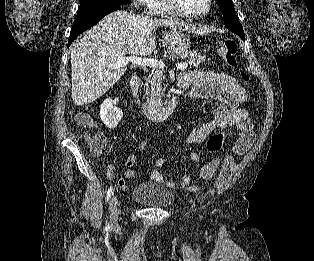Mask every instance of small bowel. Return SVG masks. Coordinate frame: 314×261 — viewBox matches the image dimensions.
Segmentation results:
<instances>
[{
    "label": "small bowel",
    "mask_w": 314,
    "mask_h": 261,
    "mask_svg": "<svg viewBox=\"0 0 314 261\" xmlns=\"http://www.w3.org/2000/svg\"><path fill=\"white\" fill-rule=\"evenodd\" d=\"M178 81L182 88L189 90L191 97L217 102L212 119L200 126H195L192 122L187 123L184 135L186 143L200 144L215 130L234 126L240 132L234 151L242 154L251 147L255 139L253 123L247 109L242 105L246 90L235 77L218 70H193L179 74ZM147 144L148 140H143L126 158L124 162L125 179H133L135 175L134 164L138 156L147 147ZM190 159L193 162H202L201 155L197 153L192 154ZM220 165L221 159L219 158L202 163L200 176L205 180H211ZM164 166L165 160L163 158L157 159L155 168L151 171V178L166 188H174L176 184L160 171ZM114 171V165L107 166L106 175L109 179H114ZM125 179L120 178L118 180V187L122 191L128 189ZM181 186L183 189L196 191V188L191 184V178L187 174L182 176Z\"/></svg>",
    "instance_id": "obj_1"
}]
</instances>
